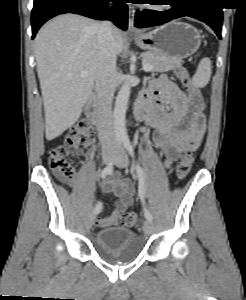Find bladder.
Masks as SVG:
<instances>
[{
  "label": "bladder",
  "mask_w": 246,
  "mask_h": 300,
  "mask_svg": "<svg viewBox=\"0 0 246 300\" xmlns=\"http://www.w3.org/2000/svg\"><path fill=\"white\" fill-rule=\"evenodd\" d=\"M95 246L101 254L120 262L134 260L142 252V243L135 232L123 226L99 230Z\"/></svg>",
  "instance_id": "31cf9c89"
}]
</instances>
